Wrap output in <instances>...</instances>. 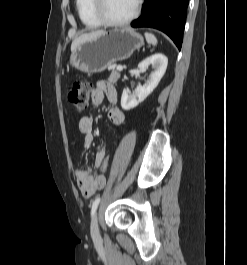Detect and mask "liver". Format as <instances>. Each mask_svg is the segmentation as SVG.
Masks as SVG:
<instances>
[{
    "mask_svg": "<svg viewBox=\"0 0 247 265\" xmlns=\"http://www.w3.org/2000/svg\"><path fill=\"white\" fill-rule=\"evenodd\" d=\"M102 33H104V31H93L90 33H86V34H82L80 35L78 38L74 39L72 44H71V51L74 50L79 44L92 39L98 35H101Z\"/></svg>",
    "mask_w": 247,
    "mask_h": 265,
    "instance_id": "1",
    "label": "liver"
}]
</instances>
